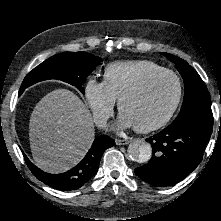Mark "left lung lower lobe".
<instances>
[{
	"label": "left lung lower lobe",
	"instance_id": "0a47b994",
	"mask_svg": "<svg viewBox=\"0 0 221 221\" xmlns=\"http://www.w3.org/2000/svg\"><path fill=\"white\" fill-rule=\"evenodd\" d=\"M213 129V115L193 113L146 139L153 155L135 173L154 186H169L187 177L201 162Z\"/></svg>",
	"mask_w": 221,
	"mask_h": 221
}]
</instances>
